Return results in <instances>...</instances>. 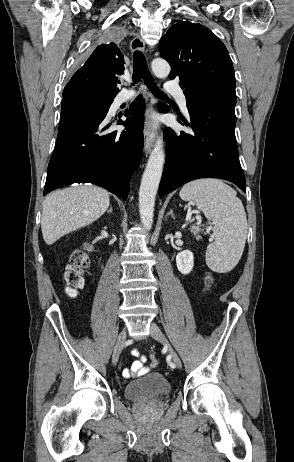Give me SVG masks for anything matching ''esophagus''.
I'll return each mask as SVG.
<instances>
[{"label":"esophagus","mask_w":294,"mask_h":462,"mask_svg":"<svg viewBox=\"0 0 294 462\" xmlns=\"http://www.w3.org/2000/svg\"><path fill=\"white\" fill-rule=\"evenodd\" d=\"M131 51H144L145 49V42L140 36H136L132 39L130 43ZM152 108V101L148 104L147 114H146V125L144 128V150L146 154L151 151V148L155 141V132L150 128V121H149V112Z\"/></svg>","instance_id":"esophagus-1"}]
</instances>
